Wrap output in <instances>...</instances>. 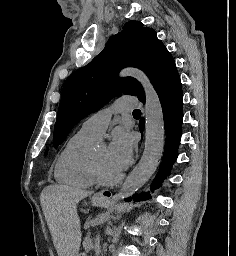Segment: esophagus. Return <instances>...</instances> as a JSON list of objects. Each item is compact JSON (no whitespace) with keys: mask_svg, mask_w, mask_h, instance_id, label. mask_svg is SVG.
Wrapping results in <instances>:
<instances>
[{"mask_svg":"<svg viewBox=\"0 0 236 256\" xmlns=\"http://www.w3.org/2000/svg\"><path fill=\"white\" fill-rule=\"evenodd\" d=\"M96 199H104V200H109L112 197L111 191L108 190H102L96 193L94 196Z\"/></svg>","mask_w":236,"mask_h":256,"instance_id":"34e87169","label":"esophagus"}]
</instances>
